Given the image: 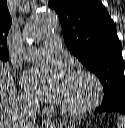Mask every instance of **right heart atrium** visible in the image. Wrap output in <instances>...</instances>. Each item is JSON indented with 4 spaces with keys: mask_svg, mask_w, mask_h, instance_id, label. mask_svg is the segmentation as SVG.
<instances>
[{
    "mask_svg": "<svg viewBox=\"0 0 125 128\" xmlns=\"http://www.w3.org/2000/svg\"><path fill=\"white\" fill-rule=\"evenodd\" d=\"M20 102L24 107L27 108L36 107V102L32 98L24 94L20 95Z\"/></svg>",
    "mask_w": 125,
    "mask_h": 128,
    "instance_id": "obj_1",
    "label": "right heart atrium"
}]
</instances>
